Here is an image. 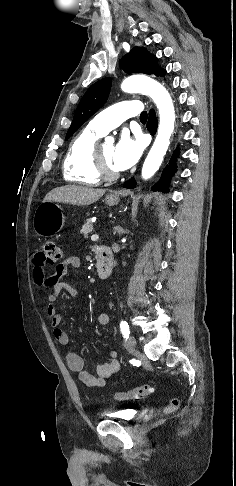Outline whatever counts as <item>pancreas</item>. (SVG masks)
<instances>
[{"label": "pancreas", "mask_w": 236, "mask_h": 486, "mask_svg": "<svg viewBox=\"0 0 236 486\" xmlns=\"http://www.w3.org/2000/svg\"><path fill=\"white\" fill-rule=\"evenodd\" d=\"M93 231V225L90 219H87L85 224L82 226L80 233L84 235V237H88V235Z\"/></svg>", "instance_id": "obj_1"}]
</instances>
